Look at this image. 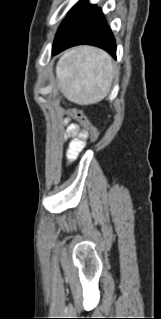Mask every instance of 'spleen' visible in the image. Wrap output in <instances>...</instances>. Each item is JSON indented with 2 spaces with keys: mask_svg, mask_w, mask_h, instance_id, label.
I'll return each instance as SVG.
<instances>
[{
  "mask_svg": "<svg viewBox=\"0 0 161 319\" xmlns=\"http://www.w3.org/2000/svg\"><path fill=\"white\" fill-rule=\"evenodd\" d=\"M113 74L111 57L100 49L87 46L66 51L56 67L62 93L79 105L104 99L110 91Z\"/></svg>",
  "mask_w": 161,
  "mask_h": 319,
  "instance_id": "3e777b00",
  "label": "spleen"
}]
</instances>
